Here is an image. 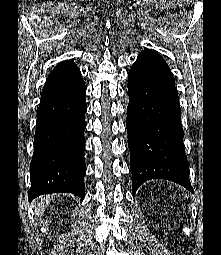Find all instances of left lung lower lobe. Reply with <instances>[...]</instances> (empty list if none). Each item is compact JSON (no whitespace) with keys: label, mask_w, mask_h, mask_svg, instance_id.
I'll return each mask as SVG.
<instances>
[{"label":"left lung lower lobe","mask_w":221,"mask_h":255,"mask_svg":"<svg viewBox=\"0 0 221 255\" xmlns=\"http://www.w3.org/2000/svg\"><path fill=\"white\" fill-rule=\"evenodd\" d=\"M128 147L133 194L150 179L176 182L193 192L183 148L175 81L165 60L142 51L128 73Z\"/></svg>","instance_id":"obj_1"}]
</instances>
